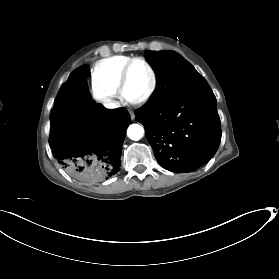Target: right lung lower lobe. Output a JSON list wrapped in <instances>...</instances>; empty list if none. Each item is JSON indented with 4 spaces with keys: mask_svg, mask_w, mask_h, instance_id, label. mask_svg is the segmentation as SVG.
Here are the masks:
<instances>
[{
    "mask_svg": "<svg viewBox=\"0 0 279 279\" xmlns=\"http://www.w3.org/2000/svg\"><path fill=\"white\" fill-rule=\"evenodd\" d=\"M87 66L74 71L61 87L51 111L49 144L70 176L100 182L117 174L130 122L126 108L106 109L91 98Z\"/></svg>",
    "mask_w": 279,
    "mask_h": 279,
    "instance_id": "obj_1",
    "label": "right lung lower lobe"
}]
</instances>
